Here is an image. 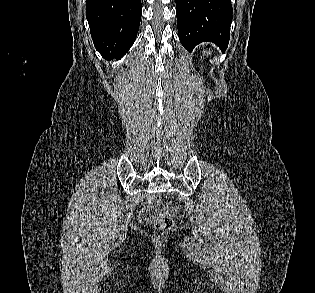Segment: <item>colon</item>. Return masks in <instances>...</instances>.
<instances>
[{
  "mask_svg": "<svg viewBox=\"0 0 315 293\" xmlns=\"http://www.w3.org/2000/svg\"><path fill=\"white\" fill-rule=\"evenodd\" d=\"M149 204L151 206L158 205L161 210L164 212L170 213V214H175L177 213L178 209L176 205L174 204H164L161 202L160 197L154 196L149 200ZM154 226L156 229L160 231H169L173 228L174 226V220L169 217V216H162L155 220Z\"/></svg>",
  "mask_w": 315,
  "mask_h": 293,
  "instance_id": "obj_1",
  "label": "colon"
}]
</instances>
